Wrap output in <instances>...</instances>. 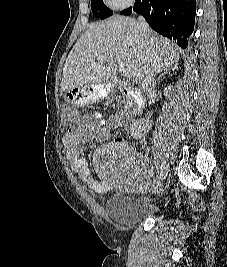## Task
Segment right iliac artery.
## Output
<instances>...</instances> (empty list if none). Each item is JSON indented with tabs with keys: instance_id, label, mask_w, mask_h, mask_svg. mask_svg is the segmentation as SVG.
<instances>
[{
	"instance_id": "right-iliac-artery-1",
	"label": "right iliac artery",
	"mask_w": 227,
	"mask_h": 267,
	"mask_svg": "<svg viewBox=\"0 0 227 267\" xmlns=\"http://www.w3.org/2000/svg\"><path fill=\"white\" fill-rule=\"evenodd\" d=\"M153 174H154V169H153V167H152L151 170L149 171V176L152 177Z\"/></svg>"
}]
</instances>
